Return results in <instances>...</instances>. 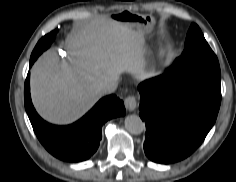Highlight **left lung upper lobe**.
I'll use <instances>...</instances> for the list:
<instances>
[{"label": "left lung upper lobe", "mask_w": 236, "mask_h": 182, "mask_svg": "<svg viewBox=\"0 0 236 182\" xmlns=\"http://www.w3.org/2000/svg\"><path fill=\"white\" fill-rule=\"evenodd\" d=\"M170 70L221 80L218 59L195 23L191 24L187 33L184 52Z\"/></svg>", "instance_id": "obj_1"}]
</instances>
